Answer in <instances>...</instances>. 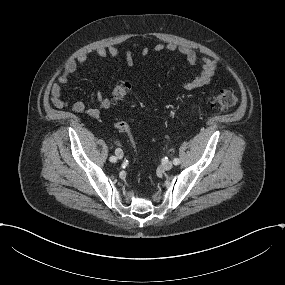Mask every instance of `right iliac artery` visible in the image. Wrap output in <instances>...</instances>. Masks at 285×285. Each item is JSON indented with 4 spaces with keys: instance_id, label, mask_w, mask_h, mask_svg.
I'll use <instances>...</instances> for the list:
<instances>
[{
    "instance_id": "right-iliac-artery-1",
    "label": "right iliac artery",
    "mask_w": 285,
    "mask_h": 285,
    "mask_svg": "<svg viewBox=\"0 0 285 285\" xmlns=\"http://www.w3.org/2000/svg\"><path fill=\"white\" fill-rule=\"evenodd\" d=\"M111 162H116V157L115 156H111L109 159Z\"/></svg>"
}]
</instances>
